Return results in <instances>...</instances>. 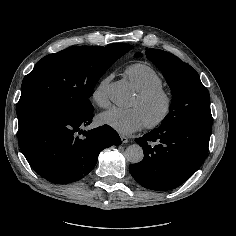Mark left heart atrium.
<instances>
[{"mask_svg": "<svg viewBox=\"0 0 236 236\" xmlns=\"http://www.w3.org/2000/svg\"><path fill=\"white\" fill-rule=\"evenodd\" d=\"M99 120L122 135L131 134L145 126V120L136 107L130 109L112 107L100 114Z\"/></svg>", "mask_w": 236, "mask_h": 236, "instance_id": "39dd6f15", "label": "left heart atrium"}]
</instances>
